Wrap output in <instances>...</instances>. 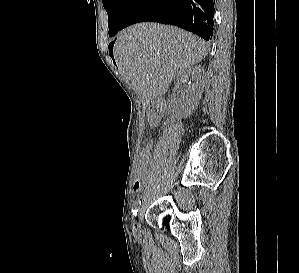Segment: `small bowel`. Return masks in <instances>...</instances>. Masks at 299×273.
I'll use <instances>...</instances> for the list:
<instances>
[{"mask_svg":"<svg viewBox=\"0 0 299 273\" xmlns=\"http://www.w3.org/2000/svg\"><path fill=\"white\" fill-rule=\"evenodd\" d=\"M159 120V114L155 110L149 111L148 123L151 127H156L159 123ZM140 159L139 169L141 170V175L138 179L135 178L134 180L133 188L135 191H140L146 184V168L152 160L151 151L146 152L145 150H142Z\"/></svg>","mask_w":299,"mask_h":273,"instance_id":"small-bowel-1","label":"small bowel"}]
</instances>
